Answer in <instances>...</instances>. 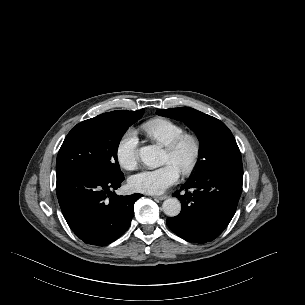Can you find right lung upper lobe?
Returning a JSON list of instances; mask_svg holds the SVG:
<instances>
[{
  "label": "right lung upper lobe",
  "mask_w": 305,
  "mask_h": 305,
  "mask_svg": "<svg viewBox=\"0 0 305 305\" xmlns=\"http://www.w3.org/2000/svg\"><path fill=\"white\" fill-rule=\"evenodd\" d=\"M121 112H123V113H127V112H129V111H125V110H120Z\"/></svg>",
  "instance_id": "obj_1"
}]
</instances>
